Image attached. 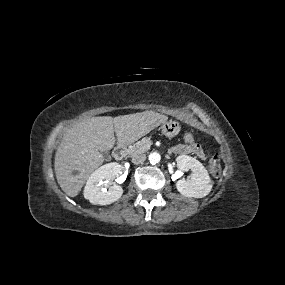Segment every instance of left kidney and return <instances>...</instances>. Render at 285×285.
Returning a JSON list of instances; mask_svg holds the SVG:
<instances>
[{
  "label": "left kidney",
  "mask_w": 285,
  "mask_h": 285,
  "mask_svg": "<svg viewBox=\"0 0 285 285\" xmlns=\"http://www.w3.org/2000/svg\"><path fill=\"white\" fill-rule=\"evenodd\" d=\"M176 162L179 170L192 171L187 180H179L176 183L177 190L185 197L202 198L208 195L212 189V183L203 164L187 155L178 156Z\"/></svg>",
  "instance_id": "left-kidney-1"
}]
</instances>
